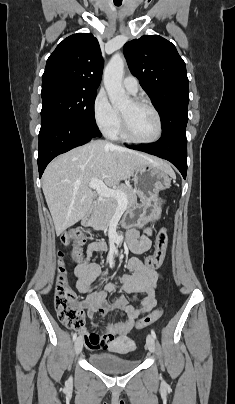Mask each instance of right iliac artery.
Instances as JSON below:
<instances>
[{
	"mask_svg": "<svg viewBox=\"0 0 235 404\" xmlns=\"http://www.w3.org/2000/svg\"><path fill=\"white\" fill-rule=\"evenodd\" d=\"M77 339V333L73 334V341H75Z\"/></svg>",
	"mask_w": 235,
	"mask_h": 404,
	"instance_id": "1",
	"label": "right iliac artery"
}]
</instances>
